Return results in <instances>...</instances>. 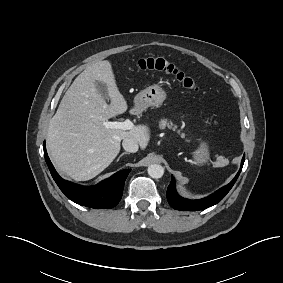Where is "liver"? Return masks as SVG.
<instances>
[{
	"instance_id": "1",
	"label": "liver",
	"mask_w": 283,
	"mask_h": 283,
	"mask_svg": "<svg viewBox=\"0 0 283 283\" xmlns=\"http://www.w3.org/2000/svg\"><path fill=\"white\" fill-rule=\"evenodd\" d=\"M97 81L107 86L111 104L98 93ZM127 109L109 61H99L80 73L49 124L47 150L57 170L76 181H86L112 163L122 139L132 138L145 149L150 140L147 126L137 125L125 131L103 125Z\"/></svg>"
}]
</instances>
